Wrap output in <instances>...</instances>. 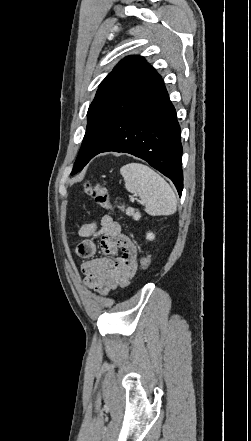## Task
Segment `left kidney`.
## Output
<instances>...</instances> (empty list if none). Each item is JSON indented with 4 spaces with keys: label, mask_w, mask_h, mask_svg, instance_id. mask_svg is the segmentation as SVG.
Segmentation results:
<instances>
[{
    "label": "left kidney",
    "mask_w": 251,
    "mask_h": 441,
    "mask_svg": "<svg viewBox=\"0 0 251 441\" xmlns=\"http://www.w3.org/2000/svg\"><path fill=\"white\" fill-rule=\"evenodd\" d=\"M146 238H147L148 240H153V239L155 238V235H154L153 233H147Z\"/></svg>",
    "instance_id": "5707ae66"
}]
</instances>
